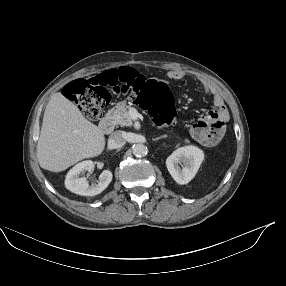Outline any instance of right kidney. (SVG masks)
<instances>
[{
	"label": "right kidney",
	"mask_w": 286,
	"mask_h": 286,
	"mask_svg": "<svg viewBox=\"0 0 286 286\" xmlns=\"http://www.w3.org/2000/svg\"><path fill=\"white\" fill-rule=\"evenodd\" d=\"M94 169V163L91 160L76 164L66 175L65 186L73 193L82 196H95L104 191L112 181V172L104 170L100 175L97 184L89 185L86 177H79L84 171L91 172Z\"/></svg>",
	"instance_id": "obj_1"
}]
</instances>
